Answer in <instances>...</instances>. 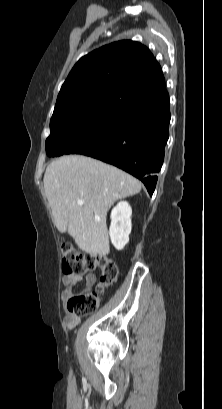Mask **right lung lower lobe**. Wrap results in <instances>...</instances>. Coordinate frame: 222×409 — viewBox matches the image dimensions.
Wrapping results in <instances>:
<instances>
[{
    "instance_id": "98d812e1",
    "label": "right lung lower lobe",
    "mask_w": 222,
    "mask_h": 409,
    "mask_svg": "<svg viewBox=\"0 0 222 409\" xmlns=\"http://www.w3.org/2000/svg\"><path fill=\"white\" fill-rule=\"evenodd\" d=\"M170 117L168 93L122 104L102 144L87 156L137 177L152 196L164 160Z\"/></svg>"
}]
</instances>
